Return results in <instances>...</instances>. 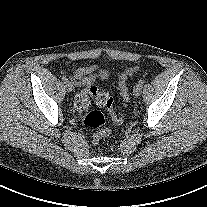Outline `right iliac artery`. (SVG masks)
I'll list each match as a JSON object with an SVG mask.
<instances>
[{
	"label": "right iliac artery",
	"mask_w": 207,
	"mask_h": 207,
	"mask_svg": "<svg viewBox=\"0 0 207 207\" xmlns=\"http://www.w3.org/2000/svg\"><path fill=\"white\" fill-rule=\"evenodd\" d=\"M62 81H63L64 83H66V82L68 81L67 77H66V76H63V77H62Z\"/></svg>",
	"instance_id": "82829eb1"
}]
</instances>
